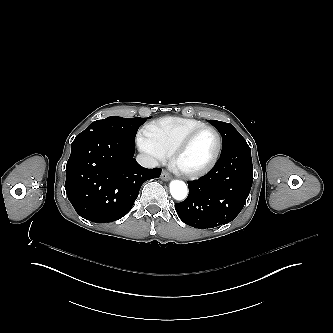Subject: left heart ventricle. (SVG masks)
I'll return each instance as SVG.
<instances>
[{
    "instance_id": "b2bd125f",
    "label": "left heart ventricle",
    "mask_w": 333,
    "mask_h": 333,
    "mask_svg": "<svg viewBox=\"0 0 333 333\" xmlns=\"http://www.w3.org/2000/svg\"><path fill=\"white\" fill-rule=\"evenodd\" d=\"M217 140L210 130L198 133L188 147L176 159L175 166L180 170H196L207 165L213 158Z\"/></svg>"
}]
</instances>
